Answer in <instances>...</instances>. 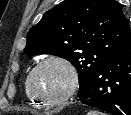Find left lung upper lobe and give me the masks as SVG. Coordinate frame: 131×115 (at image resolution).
<instances>
[{
  "label": "left lung upper lobe",
  "instance_id": "left-lung-upper-lobe-1",
  "mask_svg": "<svg viewBox=\"0 0 131 115\" xmlns=\"http://www.w3.org/2000/svg\"><path fill=\"white\" fill-rule=\"evenodd\" d=\"M130 35L129 23L115 0H66L30 29L25 51L70 61L78 70L79 94Z\"/></svg>",
  "mask_w": 131,
  "mask_h": 115
}]
</instances>
